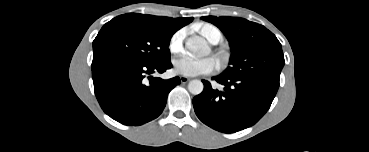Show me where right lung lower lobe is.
Instances as JSON below:
<instances>
[{"label": "right lung lower lobe", "mask_w": 369, "mask_h": 152, "mask_svg": "<svg viewBox=\"0 0 369 152\" xmlns=\"http://www.w3.org/2000/svg\"><path fill=\"white\" fill-rule=\"evenodd\" d=\"M170 60L156 64L116 61L92 70L94 90L103 111L114 120L138 126L157 118L169 92L180 78H153L171 68ZM148 76L149 82L146 81Z\"/></svg>", "instance_id": "obj_1"}]
</instances>
